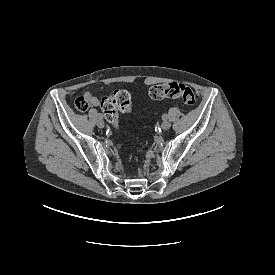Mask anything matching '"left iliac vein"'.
Instances as JSON below:
<instances>
[{"label": "left iliac vein", "mask_w": 275, "mask_h": 275, "mask_svg": "<svg viewBox=\"0 0 275 275\" xmlns=\"http://www.w3.org/2000/svg\"><path fill=\"white\" fill-rule=\"evenodd\" d=\"M163 130H168L171 127V123L167 120L163 121L162 125H161Z\"/></svg>", "instance_id": "obj_1"}]
</instances>
